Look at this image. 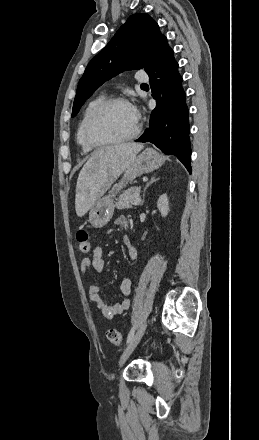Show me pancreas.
Returning a JSON list of instances; mask_svg holds the SVG:
<instances>
[{
    "mask_svg": "<svg viewBox=\"0 0 259 440\" xmlns=\"http://www.w3.org/2000/svg\"><path fill=\"white\" fill-rule=\"evenodd\" d=\"M139 192V187H131L128 190L124 191L115 203L116 208L120 210L132 208L133 201L136 199Z\"/></svg>",
    "mask_w": 259,
    "mask_h": 440,
    "instance_id": "obj_1",
    "label": "pancreas"
}]
</instances>
